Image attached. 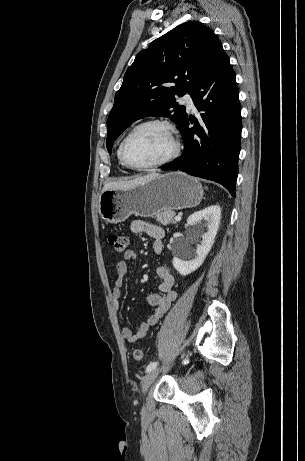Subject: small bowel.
Segmentation results:
<instances>
[{
	"mask_svg": "<svg viewBox=\"0 0 305 461\" xmlns=\"http://www.w3.org/2000/svg\"><path fill=\"white\" fill-rule=\"evenodd\" d=\"M131 229L134 233H144L153 238L152 249L155 254L160 255L163 251V238L165 236L164 230L152 223L135 220L132 222ZM138 254L135 250L129 249L124 253V259L118 261L116 264L117 279L114 287L111 290V299L113 307L119 310L121 288L123 285L124 276L127 273L126 261L137 259ZM157 276L160 279L158 292H152L147 296V301L155 306L154 312L150 315L146 322L141 323L135 332L130 328L124 327L122 329L123 339L134 344L139 339L143 338L149 331L150 327L155 325L171 308L172 303L177 299V292L175 290V278L166 266H159L156 270Z\"/></svg>",
	"mask_w": 305,
	"mask_h": 461,
	"instance_id": "small-bowel-1",
	"label": "small bowel"
}]
</instances>
